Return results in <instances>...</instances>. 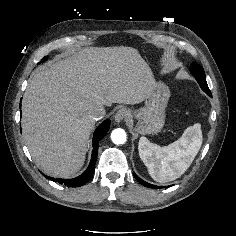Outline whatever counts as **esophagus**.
I'll use <instances>...</instances> for the list:
<instances>
[{"instance_id": "esophagus-1", "label": "esophagus", "mask_w": 236, "mask_h": 236, "mask_svg": "<svg viewBox=\"0 0 236 236\" xmlns=\"http://www.w3.org/2000/svg\"><path fill=\"white\" fill-rule=\"evenodd\" d=\"M129 115L130 111L127 108H120L114 116L115 122L121 123L122 121L126 120Z\"/></svg>"}]
</instances>
